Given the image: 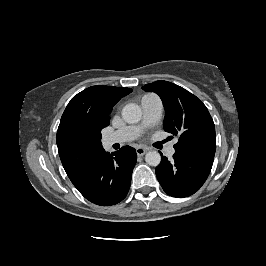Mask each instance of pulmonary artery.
<instances>
[{"label":"pulmonary artery","instance_id":"1","mask_svg":"<svg viewBox=\"0 0 266 266\" xmlns=\"http://www.w3.org/2000/svg\"><path fill=\"white\" fill-rule=\"evenodd\" d=\"M142 119L137 125L126 126L114 131L105 138L107 146L116 143L132 141L140 136L143 130L151 125L156 124L162 115L163 106L161 99L155 94H147L141 98ZM165 153L172 156L175 153L174 143L170 144Z\"/></svg>","mask_w":266,"mask_h":266}]
</instances>
